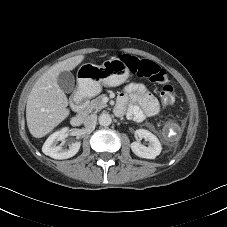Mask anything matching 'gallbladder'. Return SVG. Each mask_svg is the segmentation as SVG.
I'll list each match as a JSON object with an SVG mask.
<instances>
[{
	"mask_svg": "<svg viewBox=\"0 0 227 227\" xmlns=\"http://www.w3.org/2000/svg\"><path fill=\"white\" fill-rule=\"evenodd\" d=\"M58 85L65 93H71L74 90L75 79L70 71H63L58 75Z\"/></svg>",
	"mask_w": 227,
	"mask_h": 227,
	"instance_id": "bac80fb5",
	"label": "gallbladder"
}]
</instances>
